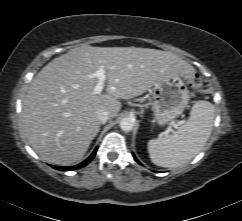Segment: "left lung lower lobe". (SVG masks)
<instances>
[{"label":"left lung lower lobe","instance_id":"left-lung-lower-lobe-1","mask_svg":"<svg viewBox=\"0 0 242 221\" xmlns=\"http://www.w3.org/2000/svg\"><path fill=\"white\" fill-rule=\"evenodd\" d=\"M133 156H134V154H133ZM134 158H135V160L137 161V162H139L137 159H136V157L134 156ZM140 163V162H139Z\"/></svg>","mask_w":242,"mask_h":221}]
</instances>
